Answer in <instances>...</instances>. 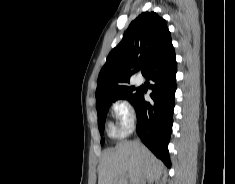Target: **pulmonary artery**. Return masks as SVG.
<instances>
[{"label":"pulmonary artery","instance_id":"obj_1","mask_svg":"<svg viewBox=\"0 0 235 184\" xmlns=\"http://www.w3.org/2000/svg\"><path fill=\"white\" fill-rule=\"evenodd\" d=\"M143 83H144L143 77H142L141 75H138V76L136 77L135 84H136L137 86H141V85H143Z\"/></svg>","mask_w":235,"mask_h":184}]
</instances>
